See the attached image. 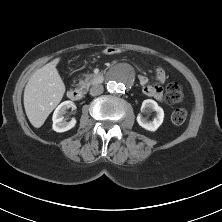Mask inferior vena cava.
<instances>
[{"label":"inferior vena cava","instance_id":"1","mask_svg":"<svg viewBox=\"0 0 222 222\" xmlns=\"http://www.w3.org/2000/svg\"><path fill=\"white\" fill-rule=\"evenodd\" d=\"M104 91V88H103V85H94L90 88V95L91 96H97V95H100L101 93H103Z\"/></svg>","mask_w":222,"mask_h":222}]
</instances>
